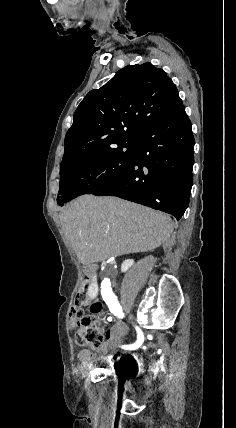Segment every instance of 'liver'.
<instances>
[{"mask_svg": "<svg viewBox=\"0 0 236 428\" xmlns=\"http://www.w3.org/2000/svg\"><path fill=\"white\" fill-rule=\"evenodd\" d=\"M60 222L81 264L152 252L172 232L167 214L120 198L81 196L60 212Z\"/></svg>", "mask_w": 236, "mask_h": 428, "instance_id": "obj_1", "label": "liver"}]
</instances>
